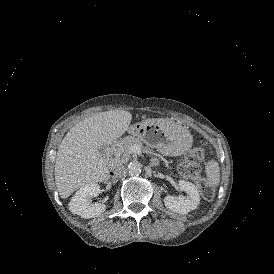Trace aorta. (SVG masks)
Listing matches in <instances>:
<instances>
[{
    "instance_id": "aorta-1",
    "label": "aorta",
    "mask_w": 274,
    "mask_h": 274,
    "mask_svg": "<svg viewBox=\"0 0 274 274\" xmlns=\"http://www.w3.org/2000/svg\"><path fill=\"white\" fill-rule=\"evenodd\" d=\"M128 172L132 176L139 175L141 173V163L138 161L130 162L128 165Z\"/></svg>"
}]
</instances>
